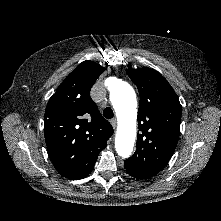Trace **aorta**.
I'll use <instances>...</instances> for the list:
<instances>
[{
  "label": "aorta",
  "instance_id": "aorta-1",
  "mask_svg": "<svg viewBox=\"0 0 221 221\" xmlns=\"http://www.w3.org/2000/svg\"><path fill=\"white\" fill-rule=\"evenodd\" d=\"M111 102L119 117L123 120V125L118 129L116 136V151L123 157L130 156L136 136V125L134 121L136 112V95L133 88L120 82L111 91ZM129 117V123L126 125V119Z\"/></svg>",
  "mask_w": 221,
  "mask_h": 221
}]
</instances>
